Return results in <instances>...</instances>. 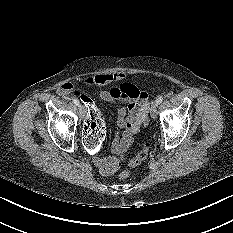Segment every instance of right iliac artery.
I'll use <instances>...</instances> for the list:
<instances>
[{
	"instance_id": "right-iliac-artery-1",
	"label": "right iliac artery",
	"mask_w": 233,
	"mask_h": 233,
	"mask_svg": "<svg viewBox=\"0 0 233 233\" xmlns=\"http://www.w3.org/2000/svg\"><path fill=\"white\" fill-rule=\"evenodd\" d=\"M73 100V103L75 104V105H77V106H79V104H80V102H79V100H77V99H72Z\"/></svg>"
}]
</instances>
